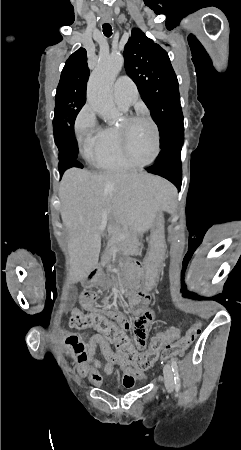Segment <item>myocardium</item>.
I'll use <instances>...</instances> for the list:
<instances>
[{
	"instance_id": "1",
	"label": "myocardium",
	"mask_w": 241,
	"mask_h": 450,
	"mask_svg": "<svg viewBox=\"0 0 241 450\" xmlns=\"http://www.w3.org/2000/svg\"><path fill=\"white\" fill-rule=\"evenodd\" d=\"M135 119V116L134 115H130V116H126L125 118H124V120H127V121H131V120H134ZM154 127H159V122H154ZM126 132H127V129H121L120 130V132H119V136H117V138H116V141H117V143H119V149H121V151H122V156L123 157H128L129 156V152H125L124 151V144L126 143V140H125V138H124V136H125V134H126ZM153 137H154V139L152 140V148H153V157H152V159L151 160H148V162H156V157H159V150H158V144H159V140H161V139H159V137H158V130H153Z\"/></svg>"
}]
</instances>
